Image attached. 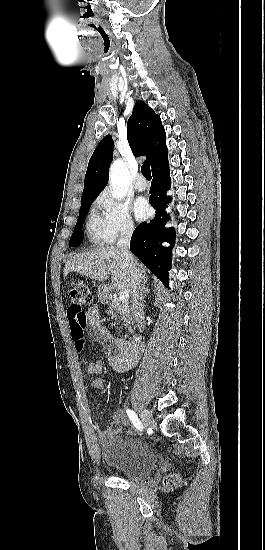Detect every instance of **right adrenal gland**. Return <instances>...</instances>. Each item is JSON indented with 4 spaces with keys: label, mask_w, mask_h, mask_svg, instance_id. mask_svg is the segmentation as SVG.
Instances as JSON below:
<instances>
[{
    "label": "right adrenal gland",
    "mask_w": 265,
    "mask_h": 550,
    "mask_svg": "<svg viewBox=\"0 0 265 550\" xmlns=\"http://www.w3.org/2000/svg\"><path fill=\"white\" fill-rule=\"evenodd\" d=\"M147 282H143L140 287V299L143 301V295L150 291L149 287L146 286Z\"/></svg>",
    "instance_id": "2a0ac1e0"
}]
</instances>
